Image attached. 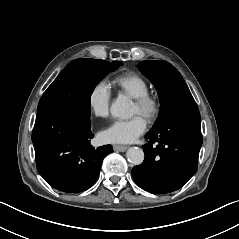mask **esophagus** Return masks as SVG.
<instances>
[{
	"instance_id": "esophagus-1",
	"label": "esophagus",
	"mask_w": 239,
	"mask_h": 239,
	"mask_svg": "<svg viewBox=\"0 0 239 239\" xmlns=\"http://www.w3.org/2000/svg\"><path fill=\"white\" fill-rule=\"evenodd\" d=\"M113 150L116 152H125L127 150V147L121 145H114Z\"/></svg>"
}]
</instances>
